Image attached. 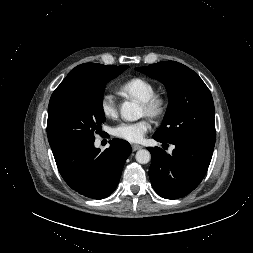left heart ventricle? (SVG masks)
I'll return each mask as SVG.
<instances>
[{"instance_id":"left-heart-ventricle-1","label":"left heart ventricle","mask_w":253,"mask_h":253,"mask_svg":"<svg viewBox=\"0 0 253 253\" xmlns=\"http://www.w3.org/2000/svg\"><path fill=\"white\" fill-rule=\"evenodd\" d=\"M142 114H146L144 107L141 108Z\"/></svg>"}]
</instances>
